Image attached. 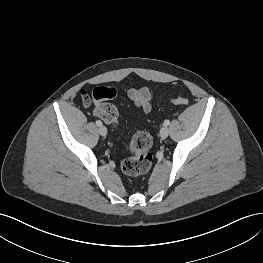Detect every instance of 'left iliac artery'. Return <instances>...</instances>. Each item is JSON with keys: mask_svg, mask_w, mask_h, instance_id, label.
Returning a JSON list of instances; mask_svg holds the SVG:
<instances>
[{"mask_svg": "<svg viewBox=\"0 0 263 263\" xmlns=\"http://www.w3.org/2000/svg\"><path fill=\"white\" fill-rule=\"evenodd\" d=\"M169 124H170V121H169V120H165V121H164V125H165V126H168Z\"/></svg>", "mask_w": 263, "mask_h": 263, "instance_id": "obj_1", "label": "left iliac artery"}]
</instances>
